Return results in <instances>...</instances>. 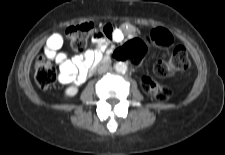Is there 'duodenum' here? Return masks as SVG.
<instances>
[{"instance_id":"obj_1","label":"duodenum","mask_w":225,"mask_h":155,"mask_svg":"<svg viewBox=\"0 0 225 155\" xmlns=\"http://www.w3.org/2000/svg\"><path fill=\"white\" fill-rule=\"evenodd\" d=\"M110 62H111V58H110L109 56H105V57L100 58V59L96 62V64H97V65H100V64H108V63H110Z\"/></svg>"}]
</instances>
